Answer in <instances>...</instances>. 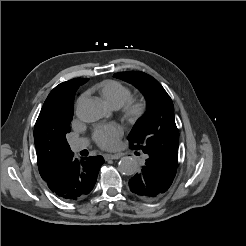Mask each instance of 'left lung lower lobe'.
Segmentation results:
<instances>
[{"label":"left lung lower lobe","instance_id":"0a47b994","mask_svg":"<svg viewBox=\"0 0 246 246\" xmlns=\"http://www.w3.org/2000/svg\"><path fill=\"white\" fill-rule=\"evenodd\" d=\"M141 171L129 180L130 190L141 199L152 200L165 193L171 186L178 163L157 154L147 152Z\"/></svg>","mask_w":246,"mask_h":246}]
</instances>
